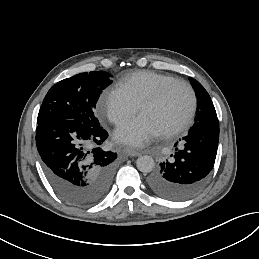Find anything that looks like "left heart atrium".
<instances>
[{
	"label": "left heart atrium",
	"instance_id": "39dd6f15",
	"mask_svg": "<svg viewBox=\"0 0 259 259\" xmlns=\"http://www.w3.org/2000/svg\"><path fill=\"white\" fill-rule=\"evenodd\" d=\"M159 135L160 132L142 117L130 119L119 125L115 130L117 141L136 147L146 145Z\"/></svg>",
	"mask_w": 259,
	"mask_h": 259
}]
</instances>
